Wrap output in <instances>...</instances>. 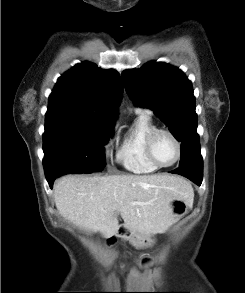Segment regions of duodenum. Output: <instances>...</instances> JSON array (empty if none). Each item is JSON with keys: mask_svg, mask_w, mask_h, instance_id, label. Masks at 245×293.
Masks as SVG:
<instances>
[{"mask_svg": "<svg viewBox=\"0 0 245 293\" xmlns=\"http://www.w3.org/2000/svg\"><path fill=\"white\" fill-rule=\"evenodd\" d=\"M128 233H129L128 229L126 227H124V226H115V227H113V234L116 237L123 238V237L127 236Z\"/></svg>", "mask_w": 245, "mask_h": 293, "instance_id": "obj_1", "label": "duodenum"}]
</instances>
